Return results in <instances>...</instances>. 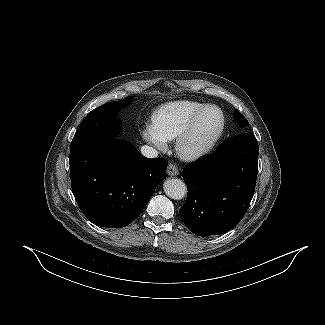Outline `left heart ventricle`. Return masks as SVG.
I'll return each mask as SVG.
<instances>
[{"mask_svg":"<svg viewBox=\"0 0 325 325\" xmlns=\"http://www.w3.org/2000/svg\"><path fill=\"white\" fill-rule=\"evenodd\" d=\"M221 122L220 114L215 109H207L200 118L191 142L193 146L205 144L215 133Z\"/></svg>","mask_w":325,"mask_h":325,"instance_id":"b2bd125f","label":"left heart ventricle"}]
</instances>
